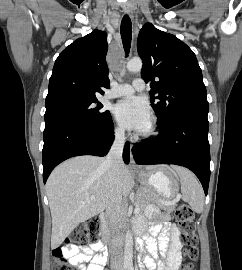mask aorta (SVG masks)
Masks as SVG:
<instances>
[{"label": "aorta", "instance_id": "obj_1", "mask_svg": "<svg viewBox=\"0 0 242 270\" xmlns=\"http://www.w3.org/2000/svg\"><path fill=\"white\" fill-rule=\"evenodd\" d=\"M142 69V61L141 59H132L127 63V70L129 72H139ZM125 258L132 259L133 256V236L131 232L128 230L125 236Z\"/></svg>", "mask_w": 242, "mask_h": 270}]
</instances>
